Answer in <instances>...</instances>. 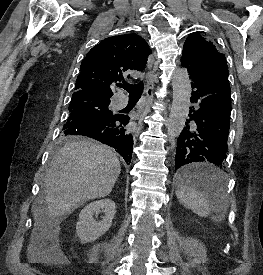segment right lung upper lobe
<instances>
[{
    "mask_svg": "<svg viewBox=\"0 0 263 275\" xmlns=\"http://www.w3.org/2000/svg\"><path fill=\"white\" fill-rule=\"evenodd\" d=\"M151 50L137 34H124L104 39L95 45L81 64L73 96L94 94L110 98L111 86L123 79L128 69L143 70Z\"/></svg>",
    "mask_w": 263,
    "mask_h": 275,
    "instance_id": "cb5924a9",
    "label": "right lung upper lobe"
}]
</instances>
